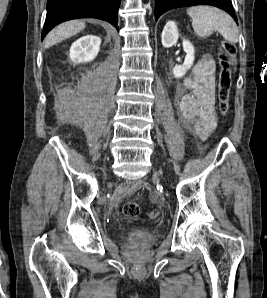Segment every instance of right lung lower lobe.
<instances>
[{
	"label": "right lung lower lobe",
	"mask_w": 267,
	"mask_h": 298,
	"mask_svg": "<svg viewBox=\"0 0 267 298\" xmlns=\"http://www.w3.org/2000/svg\"><path fill=\"white\" fill-rule=\"evenodd\" d=\"M121 0H48L42 40L56 25L76 18H97L108 21L117 30Z\"/></svg>",
	"instance_id": "1"
}]
</instances>
